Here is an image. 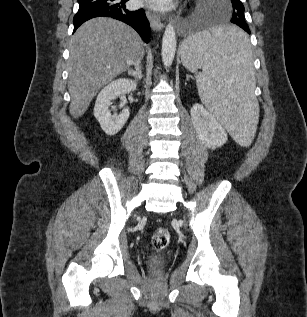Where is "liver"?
Here are the masks:
<instances>
[{"label": "liver", "mask_w": 307, "mask_h": 317, "mask_svg": "<svg viewBox=\"0 0 307 317\" xmlns=\"http://www.w3.org/2000/svg\"><path fill=\"white\" fill-rule=\"evenodd\" d=\"M68 59L70 114L81 117L98 91L143 55V42L130 26L107 17L82 24L71 37Z\"/></svg>", "instance_id": "6515ba94"}]
</instances>
